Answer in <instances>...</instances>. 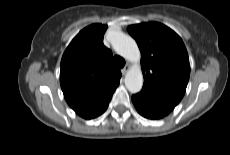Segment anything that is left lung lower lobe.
<instances>
[{
  "label": "left lung lower lobe",
  "instance_id": "obj_1",
  "mask_svg": "<svg viewBox=\"0 0 230 155\" xmlns=\"http://www.w3.org/2000/svg\"><path fill=\"white\" fill-rule=\"evenodd\" d=\"M132 101L138 113L148 119L163 118L175 108V105L144 91L133 95Z\"/></svg>",
  "mask_w": 230,
  "mask_h": 155
}]
</instances>
